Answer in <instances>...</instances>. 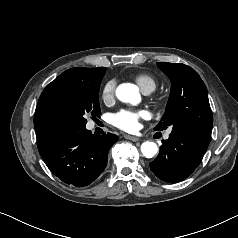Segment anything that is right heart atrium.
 Returning <instances> with one entry per match:
<instances>
[{
  "label": "right heart atrium",
  "mask_w": 238,
  "mask_h": 238,
  "mask_svg": "<svg viewBox=\"0 0 238 238\" xmlns=\"http://www.w3.org/2000/svg\"><path fill=\"white\" fill-rule=\"evenodd\" d=\"M115 88H116V81L114 79L107 80L100 92L101 99L104 103H111L115 98Z\"/></svg>",
  "instance_id": "right-heart-atrium-1"
}]
</instances>
